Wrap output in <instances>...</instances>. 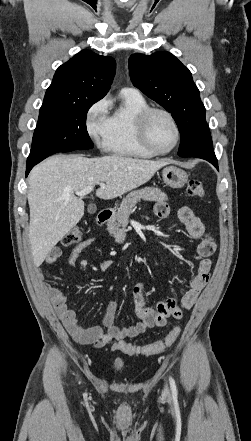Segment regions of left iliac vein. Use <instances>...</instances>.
Returning <instances> with one entry per match:
<instances>
[{
    "instance_id": "1",
    "label": "left iliac vein",
    "mask_w": 251,
    "mask_h": 441,
    "mask_svg": "<svg viewBox=\"0 0 251 441\" xmlns=\"http://www.w3.org/2000/svg\"><path fill=\"white\" fill-rule=\"evenodd\" d=\"M164 393H165L166 395H169V389H168V386H167V385H165Z\"/></svg>"
}]
</instances>
